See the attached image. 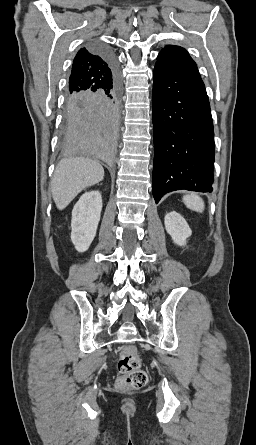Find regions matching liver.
Returning a JSON list of instances; mask_svg holds the SVG:
<instances>
[{
    "mask_svg": "<svg viewBox=\"0 0 256 445\" xmlns=\"http://www.w3.org/2000/svg\"><path fill=\"white\" fill-rule=\"evenodd\" d=\"M103 177L104 169L98 161L84 157L62 159L50 185L57 208H66L82 190L99 183Z\"/></svg>",
    "mask_w": 256,
    "mask_h": 445,
    "instance_id": "obj_1",
    "label": "liver"
}]
</instances>
